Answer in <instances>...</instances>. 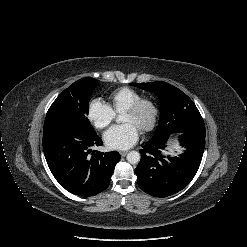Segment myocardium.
Instances as JSON below:
<instances>
[{
  "label": "myocardium",
  "mask_w": 247,
  "mask_h": 247,
  "mask_svg": "<svg viewBox=\"0 0 247 247\" xmlns=\"http://www.w3.org/2000/svg\"><path fill=\"white\" fill-rule=\"evenodd\" d=\"M145 105H149L151 107L152 114L150 120L146 124H144L140 129L143 132H149L156 127L160 115V108L158 102L153 97L142 96L136 101H134L132 104H130L128 107H126L124 111L137 113Z\"/></svg>",
  "instance_id": "1"
}]
</instances>
